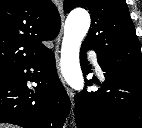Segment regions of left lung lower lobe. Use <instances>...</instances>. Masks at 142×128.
<instances>
[{
    "label": "left lung lower lobe",
    "mask_w": 142,
    "mask_h": 128,
    "mask_svg": "<svg viewBox=\"0 0 142 128\" xmlns=\"http://www.w3.org/2000/svg\"><path fill=\"white\" fill-rule=\"evenodd\" d=\"M82 45L80 62L84 77L91 70ZM105 82L86 80L87 85L100 86L97 91L84 89L76 95L77 128H142V74L108 67L97 55Z\"/></svg>",
    "instance_id": "obj_1"
}]
</instances>
